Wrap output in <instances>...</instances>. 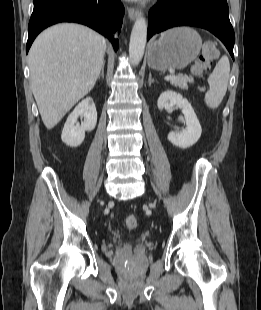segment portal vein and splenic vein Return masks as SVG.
Here are the masks:
<instances>
[{
  "instance_id": "obj_1",
  "label": "portal vein and splenic vein",
  "mask_w": 261,
  "mask_h": 310,
  "mask_svg": "<svg viewBox=\"0 0 261 310\" xmlns=\"http://www.w3.org/2000/svg\"><path fill=\"white\" fill-rule=\"evenodd\" d=\"M175 78V75H167L165 77V80H171V79H174ZM201 91H203V89H200Z\"/></svg>"
}]
</instances>
